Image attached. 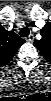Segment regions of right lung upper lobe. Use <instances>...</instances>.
I'll list each match as a JSON object with an SVG mask.
<instances>
[{
  "mask_svg": "<svg viewBox=\"0 0 51 101\" xmlns=\"http://www.w3.org/2000/svg\"><path fill=\"white\" fill-rule=\"evenodd\" d=\"M24 43L25 40L20 38L15 32L7 31L0 26V67L8 64Z\"/></svg>",
  "mask_w": 51,
  "mask_h": 101,
  "instance_id": "right-lung-upper-lobe-1",
  "label": "right lung upper lobe"
}]
</instances>
